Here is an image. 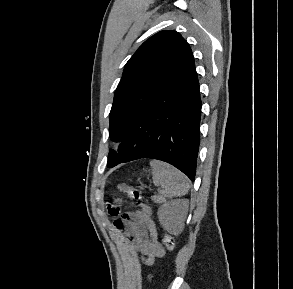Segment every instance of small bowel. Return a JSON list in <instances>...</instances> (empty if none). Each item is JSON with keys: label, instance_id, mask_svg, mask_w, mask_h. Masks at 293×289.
I'll return each mask as SVG.
<instances>
[{"label": "small bowel", "instance_id": "1", "mask_svg": "<svg viewBox=\"0 0 293 289\" xmlns=\"http://www.w3.org/2000/svg\"><path fill=\"white\" fill-rule=\"evenodd\" d=\"M115 227L130 240L131 250L141 255L146 266H152L156 258H162L165 250L160 242L158 229L151 218V210L142 205L114 221Z\"/></svg>", "mask_w": 293, "mask_h": 289}]
</instances>
